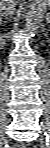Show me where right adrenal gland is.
Wrapping results in <instances>:
<instances>
[{
  "mask_svg": "<svg viewBox=\"0 0 50 148\" xmlns=\"http://www.w3.org/2000/svg\"><path fill=\"white\" fill-rule=\"evenodd\" d=\"M8 15H9V12H5V13H2V14H1V17H2V18H3V17L7 18Z\"/></svg>",
  "mask_w": 50,
  "mask_h": 148,
  "instance_id": "1",
  "label": "right adrenal gland"
}]
</instances>
